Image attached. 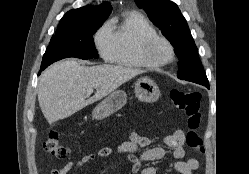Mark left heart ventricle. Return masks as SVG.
<instances>
[{
    "mask_svg": "<svg viewBox=\"0 0 249 174\" xmlns=\"http://www.w3.org/2000/svg\"><path fill=\"white\" fill-rule=\"evenodd\" d=\"M155 54L159 57H167L168 49L164 44H159L155 49Z\"/></svg>",
    "mask_w": 249,
    "mask_h": 174,
    "instance_id": "left-heart-ventricle-1",
    "label": "left heart ventricle"
}]
</instances>
